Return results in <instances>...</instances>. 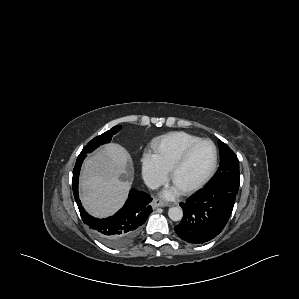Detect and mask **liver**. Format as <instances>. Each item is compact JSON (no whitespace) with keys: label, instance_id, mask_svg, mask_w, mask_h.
Instances as JSON below:
<instances>
[{"label":"liver","instance_id":"liver-1","mask_svg":"<svg viewBox=\"0 0 299 299\" xmlns=\"http://www.w3.org/2000/svg\"><path fill=\"white\" fill-rule=\"evenodd\" d=\"M130 155L119 144L111 143L88 158L80 176V199L86 211L95 217L115 213L127 198V167Z\"/></svg>","mask_w":299,"mask_h":299}]
</instances>
